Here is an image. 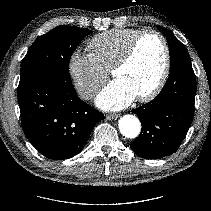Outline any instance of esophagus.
Segmentation results:
<instances>
[{
    "label": "esophagus",
    "instance_id": "1",
    "mask_svg": "<svg viewBox=\"0 0 211 211\" xmlns=\"http://www.w3.org/2000/svg\"><path fill=\"white\" fill-rule=\"evenodd\" d=\"M120 117V114H107L106 118L108 120H116Z\"/></svg>",
    "mask_w": 211,
    "mask_h": 211
}]
</instances>
